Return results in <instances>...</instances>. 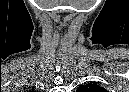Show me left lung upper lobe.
Returning <instances> with one entry per match:
<instances>
[{"label": "left lung upper lobe", "instance_id": "left-lung-upper-lobe-1", "mask_svg": "<svg viewBox=\"0 0 129 92\" xmlns=\"http://www.w3.org/2000/svg\"><path fill=\"white\" fill-rule=\"evenodd\" d=\"M79 92H107L103 87L98 86L96 83L81 86L78 89Z\"/></svg>", "mask_w": 129, "mask_h": 92}]
</instances>
